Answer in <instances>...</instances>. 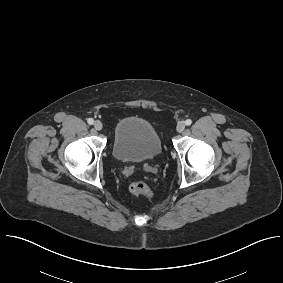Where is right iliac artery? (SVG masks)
<instances>
[{
  "instance_id": "82829eb1",
  "label": "right iliac artery",
  "mask_w": 283,
  "mask_h": 283,
  "mask_svg": "<svg viewBox=\"0 0 283 283\" xmlns=\"http://www.w3.org/2000/svg\"><path fill=\"white\" fill-rule=\"evenodd\" d=\"M87 122H88V124L92 125V124L94 123V120H93L92 118H89V119L87 120Z\"/></svg>"
}]
</instances>
